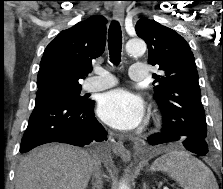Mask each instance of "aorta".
Segmentation results:
<instances>
[{
	"mask_svg": "<svg viewBox=\"0 0 223 189\" xmlns=\"http://www.w3.org/2000/svg\"><path fill=\"white\" fill-rule=\"evenodd\" d=\"M126 51L131 56H141L146 51V44L142 39L133 38L126 43ZM119 189H130L127 183L122 182Z\"/></svg>",
	"mask_w": 223,
	"mask_h": 189,
	"instance_id": "762f6f07",
	"label": "aorta"
}]
</instances>
